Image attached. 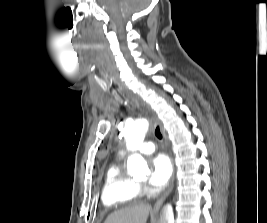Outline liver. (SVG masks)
I'll return each mask as SVG.
<instances>
[{
  "label": "liver",
  "mask_w": 267,
  "mask_h": 223,
  "mask_svg": "<svg viewBox=\"0 0 267 223\" xmlns=\"http://www.w3.org/2000/svg\"><path fill=\"white\" fill-rule=\"evenodd\" d=\"M151 206L135 204L111 213L104 223H146Z\"/></svg>",
  "instance_id": "obj_1"
}]
</instances>
